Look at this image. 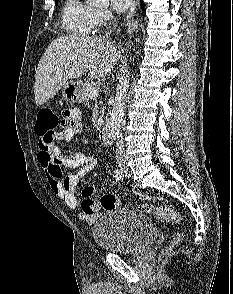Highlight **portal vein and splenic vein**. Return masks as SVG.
<instances>
[{"label": "portal vein and splenic vein", "mask_w": 233, "mask_h": 294, "mask_svg": "<svg viewBox=\"0 0 233 294\" xmlns=\"http://www.w3.org/2000/svg\"><path fill=\"white\" fill-rule=\"evenodd\" d=\"M89 94H90L92 97H97V96L99 95L98 90L95 89V88L90 89Z\"/></svg>", "instance_id": "1"}]
</instances>
